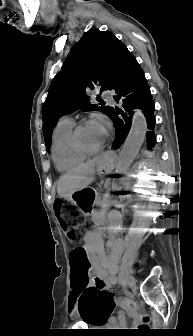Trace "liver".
I'll list each match as a JSON object with an SVG mask.
<instances>
[{
	"instance_id": "6515ba94",
	"label": "liver",
	"mask_w": 193,
	"mask_h": 336,
	"mask_svg": "<svg viewBox=\"0 0 193 336\" xmlns=\"http://www.w3.org/2000/svg\"><path fill=\"white\" fill-rule=\"evenodd\" d=\"M102 157L82 163L60 176L57 182V193L60 197L70 199L73 192L86 188L95 179V171L98 172L97 165Z\"/></svg>"
}]
</instances>
